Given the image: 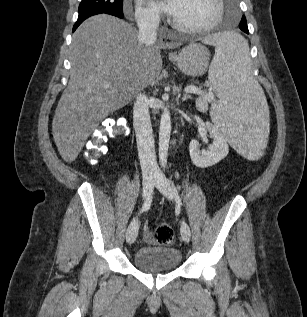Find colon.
Masks as SVG:
<instances>
[{
	"mask_svg": "<svg viewBox=\"0 0 307 317\" xmlns=\"http://www.w3.org/2000/svg\"><path fill=\"white\" fill-rule=\"evenodd\" d=\"M125 124L117 119H106L101 124L93 128L85 143L86 156L91 163L107 152V142L124 130ZM154 239L160 245H169L173 242L174 234L168 224H159L154 231Z\"/></svg>",
	"mask_w": 307,
	"mask_h": 317,
	"instance_id": "obj_1",
	"label": "colon"
}]
</instances>
